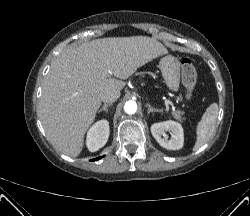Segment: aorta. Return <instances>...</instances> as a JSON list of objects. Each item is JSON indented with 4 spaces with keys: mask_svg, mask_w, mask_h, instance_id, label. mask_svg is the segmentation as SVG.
<instances>
[{
    "mask_svg": "<svg viewBox=\"0 0 250 216\" xmlns=\"http://www.w3.org/2000/svg\"><path fill=\"white\" fill-rule=\"evenodd\" d=\"M124 111L127 114H134L137 111V104L134 101H127L124 105Z\"/></svg>",
    "mask_w": 250,
    "mask_h": 216,
    "instance_id": "obj_1",
    "label": "aorta"
}]
</instances>
